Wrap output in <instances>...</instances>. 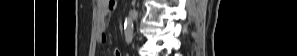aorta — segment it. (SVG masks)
<instances>
[{
    "mask_svg": "<svg viewBox=\"0 0 297 56\" xmlns=\"http://www.w3.org/2000/svg\"><path fill=\"white\" fill-rule=\"evenodd\" d=\"M124 30L126 34H131L133 32V23L131 19H125Z\"/></svg>",
    "mask_w": 297,
    "mask_h": 56,
    "instance_id": "aorta-1",
    "label": "aorta"
}]
</instances>
